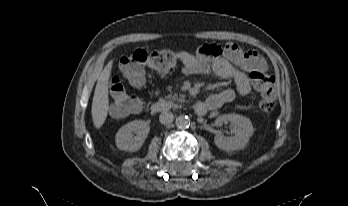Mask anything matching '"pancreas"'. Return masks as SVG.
<instances>
[{"mask_svg":"<svg viewBox=\"0 0 348 206\" xmlns=\"http://www.w3.org/2000/svg\"><path fill=\"white\" fill-rule=\"evenodd\" d=\"M166 99L173 105L179 106L181 103L185 102V95L183 94H169L166 96Z\"/></svg>","mask_w":348,"mask_h":206,"instance_id":"obj_1","label":"pancreas"}]
</instances>
